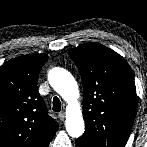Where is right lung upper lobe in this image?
<instances>
[{"label":"right lung upper lobe","mask_w":147,"mask_h":147,"mask_svg":"<svg viewBox=\"0 0 147 147\" xmlns=\"http://www.w3.org/2000/svg\"><path fill=\"white\" fill-rule=\"evenodd\" d=\"M46 54L13 58L0 66V147H47L58 123L37 90Z\"/></svg>","instance_id":"obj_1"}]
</instances>
